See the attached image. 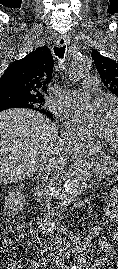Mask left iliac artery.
I'll return each instance as SVG.
<instances>
[{"instance_id": "1", "label": "left iliac artery", "mask_w": 118, "mask_h": 269, "mask_svg": "<svg viewBox=\"0 0 118 269\" xmlns=\"http://www.w3.org/2000/svg\"><path fill=\"white\" fill-rule=\"evenodd\" d=\"M71 269H78L76 266H72V268Z\"/></svg>"}]
</instances>
